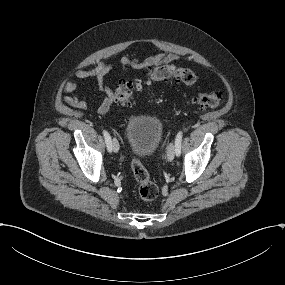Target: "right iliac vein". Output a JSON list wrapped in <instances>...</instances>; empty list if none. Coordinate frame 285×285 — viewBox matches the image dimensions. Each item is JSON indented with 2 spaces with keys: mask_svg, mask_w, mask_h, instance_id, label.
Here are the masks:
<instances>
[{
  "mask_svg": "<svg viewBox=\"0 0 285 285\" xmlns=\"http://www.w3.org/2000/svg\"><path fill=\"white\" fill-rule=\"evenodd\" d=\"M111 149L114 152H118L119 151V143H118L116 138H113L112 141H111Z\"/></svg>",
  "mask_w": 285,
  "mask_h": 285,
  "instance_id": "right-iliac-vein-1",
  "label": "right iliac vein"
}]
</instances>
